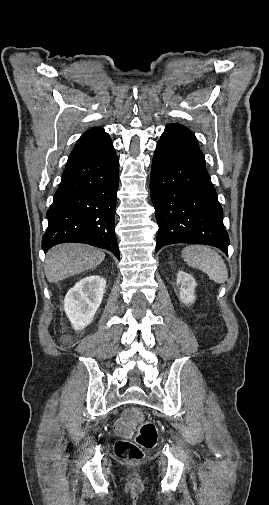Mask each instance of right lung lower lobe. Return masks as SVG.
Masks as SVG:
<instances>
[{
    "label": "right lung lower lobe",
    "mask_w": 269,
    "mask_h": 505,
    "mask_svg": "<svg viewBox=\"0 0 269 505\" xmlns=\"http://www.w3.org/2000/svg\"><path fill=\"white\" fill-rule=\"evenodd\" d=\"M119 162L112 142L81 158L68 160L47 211L42 249L64 242L90 244L118 259L114 232Z\"/></svg>",
    "instance_id": "1"
}]
</instances>
